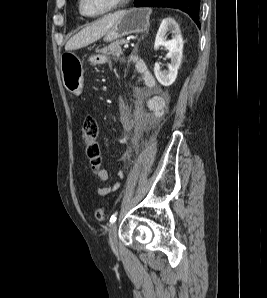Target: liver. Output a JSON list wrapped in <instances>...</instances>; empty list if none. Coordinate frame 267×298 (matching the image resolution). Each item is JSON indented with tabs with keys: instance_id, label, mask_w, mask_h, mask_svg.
<instances>
[{
	"instance_id": "obj_1",
	"label": "liver",
	"mask_w": 267,
	"mask_h": 298,
	"mask_svg": "<svg viewBox=\"0 0 267 298\" xmlns=\"http://www.w3.org/2000/svg\"><path fill=\"white\" fill-rule=\"evenodd\" d=\"M121 13L122 12L119 11L113 14H108L83 28L80 32L69 39V41L65 45V50L71 51L80 49L97 41L102 36H104L116 23Z\"/></svg>"
}]
</instances>
